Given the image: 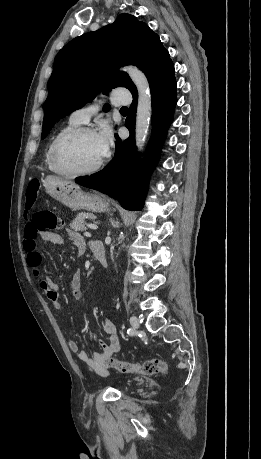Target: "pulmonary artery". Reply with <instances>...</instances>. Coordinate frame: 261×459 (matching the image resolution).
Returning <instances> with one entry per match:
<instances>
[{
    "instance_id": "pulmonary-artery-1",
    "label": "pulmonary artery",
    "mask_w": 261,
    "mask_h": 459,
    "mask_svg": "<svg viewBox=\"0 0 261 459\" xmlns=\"http://www.w3.org/2000/svg\"><path fill=\"white\" fill-rule=\"evenodd\" d=\"M111 102L114 105H125L130 102V97L128 93L123 90H114L111 94ZM100 107L101 102L95 101L72 112L70 118L78 124L87 123L91 116L99 111Z\"/></svg>"
}]
</instances>
